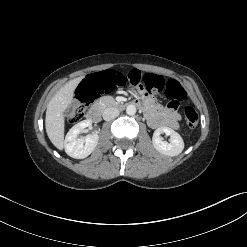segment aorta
<instances>
[{
    "instance_id": "762f6f07",
    "label": "aorta",
    "mask_w": 247,
    "mask_h": 247,
    "mask_svg": "<svg viewBox=\"0 0 247 247\" xmlns=\"http://www.w3.org/2000/svg\"><path fill=\"white\" fill-rule=\"evenodd\" d=\"M126 113L128 115H135L136 113V107L134 105H128L127 108H126Z\"/></svg>"
}]
</instances>
